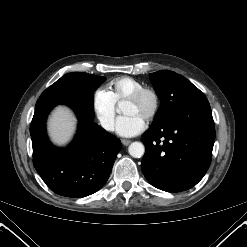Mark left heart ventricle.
Segmentation results:
<instances>
[{"instance_id":"left-heart-ventricle-1","label":"left heart ventricle","mask_w":247,"mask_h":247,"mask_svg":"<svg viewBox=\"0 0 247 247\" xmlns=\"http://www.w3.org/2000/svg\"><path fill=\"white\" fill-rule=\"evenodd\" d=\"M152 107V100L149 96H145L138 102H125L123 112L125 114H138L142 118H146Z\"/></svg>"}]
</instances>
